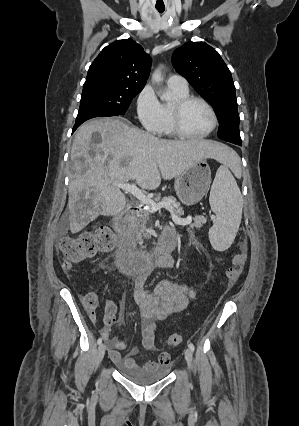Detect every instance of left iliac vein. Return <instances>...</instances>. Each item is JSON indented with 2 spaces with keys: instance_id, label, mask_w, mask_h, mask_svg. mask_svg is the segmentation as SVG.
Here are the masks:
<instances>
[{
  "instance_id": "obj_1",
  "label": "left iliac vein",
  "mask_w": 299,
  "mask_h": 426,
  "mask_svg": "<svg viewBox=\"0 0 299 426\" xmlns=\"http://www.w3.org/2000/svg\"><path fill=\"white\" fill-rule=\"evenodd\" d=\"M184 354H185V359L187 361L188 366L191 367L192 360H193V354L191 349L190 348L185 349Z\"/></svg>"
}]
</instances>
